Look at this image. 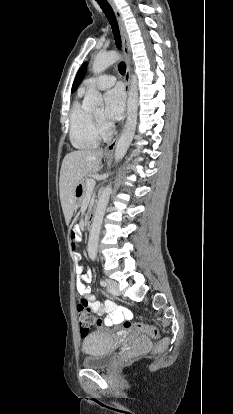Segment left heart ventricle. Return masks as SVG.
<instances>
[{
	"label": "left heart ventricle",
	"instance_id": "b2bd125f",
	"mask_svg": "<svg viewBox=\"0 0 233 414\" xmlns=\"http://www.w3.org/2000/svg\"><path fill=\"white\" fill-rule=\"evenodd\" d=\"M97 118H99L100 120L104 121V112L102 109L97 110L93 113Z\"/></svg>",
	"mask_w": 233,
	"mask_h": 414
}]
</instances>
